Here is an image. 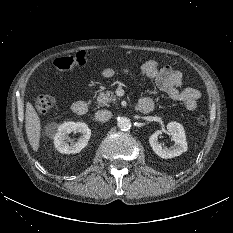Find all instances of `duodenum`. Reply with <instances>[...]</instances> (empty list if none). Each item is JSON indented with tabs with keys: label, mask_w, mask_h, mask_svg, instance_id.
<instances>
[{
	"label": "duodenum",
	"mask_w": 233,
	"mask_h": 233,
	"mask_svg": "<svg viewBox=\"0 0 233 233\" xmlns=\"http://www.w3.org/2000/svg\"><path fill=\"white\" fill-rule=\"evenodd\" d=\"M88 106L85 101H76L72 105V111L75 115L82 116L87 112ZM138 112L148 113L153 109V105L149 102H138L135 106Z\"/></svg>",
	"instance_id": "410a0bca"
}]
</instances>
